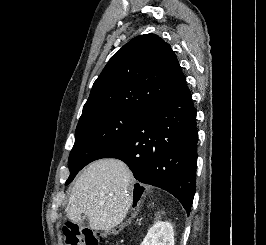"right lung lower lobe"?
Segmentation results:
<instances>
[{"instance_id":"obj_1","label":"right lung lower lobe","mask_w":266,"mask_h":245,"mask_svg":"<svg viewBox=\"0 0 266 245\" xmlns=\"http://www.w3.org/2000/svg\"><path fill=\"white\" fill-rule=\"evenodd\" d=\"M196 109L185 85L144 113L132 130L97 159L124 161L142 183L176 197L189 215L196 190Z\"/></svg>"}]
</instances>
